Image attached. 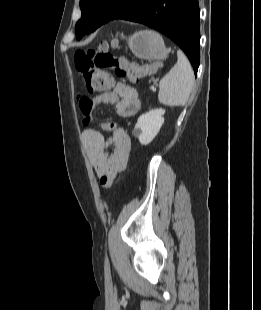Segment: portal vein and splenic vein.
<instances>
[{"label": "portal vein and splenic vein", "instance_id": "1", "mask_svg": "<svg viewBox=\"0 0 261 310\" xmlns=\"http://www.w3.org/2000/svg\"><path fill=\"white\" fill-rule=\"evenodd\" d=\"M151 89H152V91H153V92H156V88H154V87H151Z\"/></svg>", "mask_w": 261, "mask_h": 310}]
</instances>
